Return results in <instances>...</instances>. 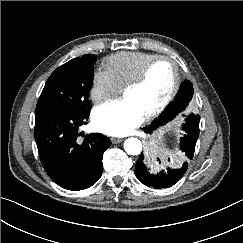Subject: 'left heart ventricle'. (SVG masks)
Wrapping results in <instances>:
<instances>
[{
	"label": "left heart ventricle",
	"mask_w": 243,
	"mask_h": 243,
	"mask_svg": "<svg viewBox=\"0 0 243 243\" xmlns=\"http://www.w3.org/2000/svg\"><path fill=\"white\" fill-rule=\"evenodd\" d=\"M174 78L173 65L168 61L158 62L151 68L145 82L139 88L127 91L124 97L132 101L146 116L167 98Z\"/></svg>",
	"instance_id": "b2bd125f"
}]
</instances>
